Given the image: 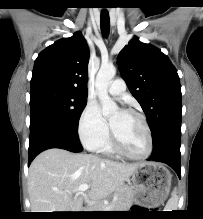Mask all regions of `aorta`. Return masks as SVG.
<instances>
[{"label": "aorta", "instance_id": "aorta-1", "mask_svg": "<svg viewBox=\"0 0 203 219\" xmlns=\"http://www.w3.org/2000/svg\"><path fill=\"white\" fill-rule=\"evenodd\" d=\"M115 75L116 68L113 65H102L95 80L96 93L102 106V114L105 117H109L118 111L117 104L108 94V87Z\"/></svg>", "mask_w": 203, "mask_h": 219}]
</instances>
